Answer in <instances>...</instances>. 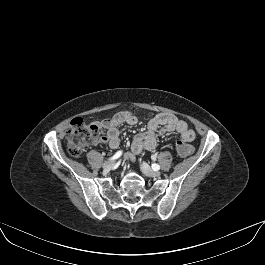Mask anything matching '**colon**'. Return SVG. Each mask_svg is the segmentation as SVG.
<instances>
[{
  "instance_id": "5ec220e1",
  "label": "colon",
  "mask_w": 265,
  "mask_h": 265,
  "mask_svg": "<svg viewBox=\"0 0 265 265\" xmlns=\"http://www.w3.org/2000/svg\"><path fill=\"white\" fill-rule=\"evenodd\" d=\"M98 136L99 130L96 125L86 124L80 118L73 119L66 135V145L69 154L74 157L80 156L86 147L97 142ZM177 151L181 156H189L194 152V149L188 143L179 141L177 143Z\"/></svg>"
}]
</instances>
